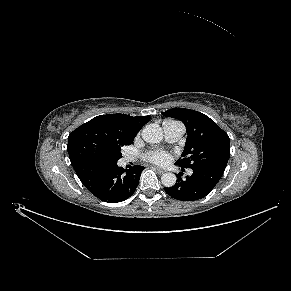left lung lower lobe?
<instances>
[{
  "instance_id": "0a47b994",
  "label": "left lung lower lobe",
  "mask_w": 291,
  "mask_h": 291,
  "mask_svg": "<svg viewBox=\"0 0 291 291\" xmlns=\"http://www.w3.org/2000/svg\"><path fill=\"white\" fill-rule=\"evenodd\" d=\"M191 169V176L183 180L182 174H178L175 185L164 188L169 196L180 201H195L207 196L220 180L225 167L196 166Z\"/></svg>"
}]
</instances>
